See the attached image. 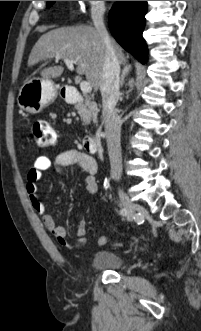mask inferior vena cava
<instances>
[{"mask_svg": "<svg viewBox=\"0 0 201 331\" xmlns=\"http://www.w3.org/2000/svg\"><path fill=\"white\" fill-rule=\"evenodd\" d=\"M104 9L99 8L92 16L96 30L103 37L106 51L103 64V82L100 86L102 96V117L105 132L111 173L120 176L122 172V155L120 145L121 121L115 110L119 98L120 64L111 39L103 22Z\"/></svg>", "mask_w": 201, "mask_h": 331, "instance_id": "1", "label": "inferior vena cava"}]
</instances>
